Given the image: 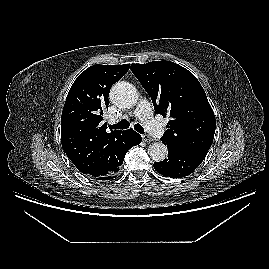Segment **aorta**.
I'll return each instance as SVG.
<instances>
[{"label": "aorta", "instance_id": "762f6f07", "mask_svg": "<svg viewBox=\"0 0 269 269\" xmlns=\"http://www.w3.org/2000/svg\"><path fill=\"white\" fill-rule=\"evenodd\" d=\"M111 101L122 108L131 107L136 104L138 94L136 88L128 82L116 83L110 92ZM149 156L156 162L163 161L168 153L167 147L161 143H153L148 149Z\"/></svg>", "mask_w": 269, "mask_h": 269}]
</instances>
